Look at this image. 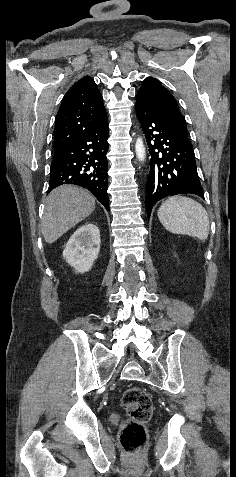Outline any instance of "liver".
Instances as JSON below:
<instances>
[{
	"label": "liver",
	"instance_id": "1",
	"mask_svg": "<svg viewBox=\"0 0 236 477\" xmlns=\"http://www.w3.org/2000/svg\"><path fill=\"white\" fill-rule=\"evenodd\" d=\"M95 209V198L72 185L53 189L45 201L42 234L49 244L88 217Z\"/></svg>",
	"mask_w": 236,
	"mask_h": 477
}]
</instances>
